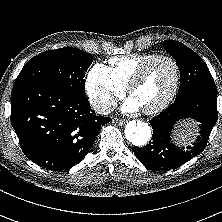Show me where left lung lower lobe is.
Segmentation results:
<instances>
[{"mask_svg": "<svg viewBox=\"0 0 222 222\" xmlns=\"http://www.w3.org/2000/svg\"><path fill=\"white\" fill-rule=\"evenodd\" d=\"M182 119L199 122L200 135L193 146L186 149L171 142L173 126ZM217 121V95L191 92L176 97L165 111L149 121L153 128L152 141L145 147H132L136 158L152 170L179 167L202 152Z\"/></svg>", "mask_w": 222, "mask_h": 222, "instance_id": "1", "label": "left lung lower lobe"}]
</instances>
